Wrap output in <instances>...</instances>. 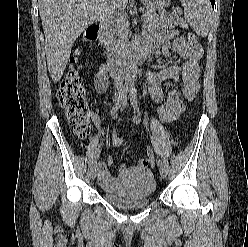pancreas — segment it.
Here are the masks:
<instances>
[{
	"instance_id": "pancreas-1",
	"label": "pancreas",
	"mask_w": 248,
	"mask_h": 247,
	"mask_svg": "<svg viewBox=\"0 0 248 247\" xmlns=\"http://www.w3.org/2000/svg\"><path fill=\"white\" fill-rule=\"evenodd\" d=\"M145 25L157 29L173 28L178 25L187 28V24L178 16L166 17L163 13H157L148 9L143 16ZM129 22L124 16H119L109 23V30L104 39V45L109 56L121 53L127 45Z\"/></svg>"
}]
</instances>
